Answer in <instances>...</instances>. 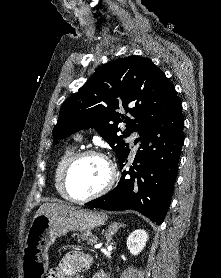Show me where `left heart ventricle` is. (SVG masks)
Returning a JSON list of instances; mask_svg holds the SVG:
<instances>
[{
    "label": "left heart ventricle",
    "mask_w": 221,
    "mask_h": 278,
    "mask_svg": "<svg viewBox=\"0 0 221 278\" xmlns=\"http://www.w3.org/2000/svg\"><path fill=\"white\" fill-rule=\"evenodd\" d=\"M108 178V169L103 160L87 156L78 160L72 167L68 186L72 196L85 197L99 190Z\"/></svg>",
    "instance_id": "b2bd125f"
}]
</instances>
